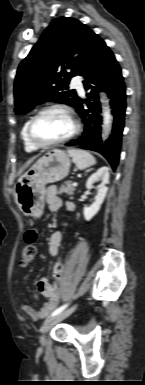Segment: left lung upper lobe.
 <instances>
[{"instance_id":"5c2ea615","label":"left lung upper lobe","mask_w":145,"mask_h":385,"mask_svg":"<svg viewBox=\"0 0 145 385\" xmlns=\"http://www.w3.org/2000/svg\"><path fill=\"white\" fill-rule=\"evenodd\" d=\"M94 34L76 19L53 20L18 67L14 84L15 113L25 114L49 101L78 109L81 99L74 90L64 89H68L71 77L79 75ZM75 53L79 56L73 58Z\"/></svg>"}]
</instances>
